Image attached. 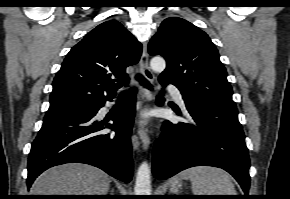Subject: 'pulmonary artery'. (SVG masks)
Instances as JSON below:
<instances>
[{"mask_svg": "<svg viewBox=\"0 0 290 199\" xmlns=\"http://www.w3.org/2000/svg\"><path fill=\"white\" fill-rule=\"evenodd\" d=\"M168 91L171 92L174 96V98L182 105L184 106V101L181 95V92L179 91V89L173 85H169L167 87Z\"/></svg>", "mask_w": 290, "mask_h": 199, "instance_id": "e3ab8cb5", "label": "pulmonary artery"}]
</instances>
